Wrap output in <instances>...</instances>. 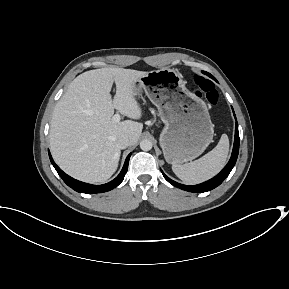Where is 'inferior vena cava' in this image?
Here are the masks:
<instances>
[{"label":"inferior vena cava","instance_id":"inferior-vena-cava-1","mask_svg":"<svg viewBox=\"0 0 289 289\" xmlns=\"http://www.w3.org/2000/svg\"><path fill=\"white\" fill-rule=\"evenodd\" d=\"M130 145V140L126 136H122L117 139V146L120 149H125Z\"/></svg>","mask_w":289,"mask_h":289}]
</instances>
